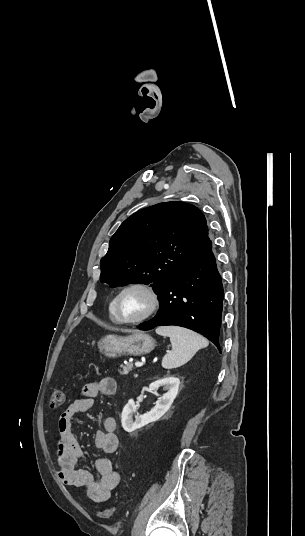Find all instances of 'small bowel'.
Segmentation results:
<instances>
[{
  "label": "small bowel",
  "instance_id": "small-bowel-1",
  "mask_svg": "<svg viewBox=\"0 0 305 536\" xmlns=\"http://www.w3.org/2000/svg\"><path fill=\"white\" fill-rule=\"evenodd\" d=\"M116 389L117 383L112 377L88 382L82 387L81 396L72 402L58 419V477L67 486L83 488L94 502H104L111 497L120 483V474L107 457H99L95 461L99 479H95L87 469H76L84 459V452L73 434V427L79 421L80 414L93 406L97 395H112ZM115 429V419L106 417L103 420V429L94 434L95 446L104 454H112L117 450Z\"/></svg>",
  "mask_w": 305,
  "mask_h": 536
}]
</instances>
